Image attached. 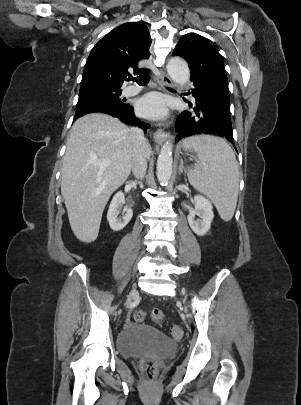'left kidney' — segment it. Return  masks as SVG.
Wrapping results in <instances>:
<instances>
[{
    "label": "left kidney",
    "mask_w": 301,
    "mask_h": 405,
    "mask_svg": "<svg viewBox=\"0 0 301 405\" xmlns=\"http://www.w3.org/2000/svg\"><path fill=\"white\" fill-rule=\"evenodd\" d=\"M195 213L200 215L201 220H194L193 215H188V223L194 233L198 236H204L211 227L214 218L213 206L211 202L201 195L194 197Z\"/></svg>",
    "instance_id": "5707ae66"
}]
</instances>
